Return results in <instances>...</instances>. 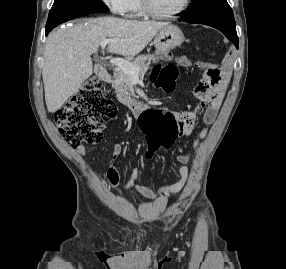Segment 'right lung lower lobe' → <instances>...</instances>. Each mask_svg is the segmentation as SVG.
<instances>
[{"label": "right lung lower lobe", "instance_id": "1", "mask_svg": "<svg viewBox=\"0 0 286 269\" xmlns=\"http://www.w3.org/2000/svg\"><path fill=\"white\" fill-rule=\"evenodd\" d=\"M53 28H50V29H46V35L49 34V32L52 30Z\"/></svg>", "mask_w": 286, "mask_h": 269}]
</instances>
